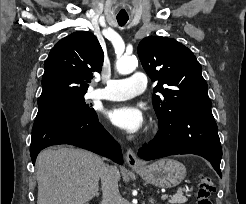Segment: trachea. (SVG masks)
<instances>
[{
	"instance_id": "1",
	"label": "trachea",
	"mask_w": 246,
	"mask_h": 204,
	"mask_svg": "<svg viewBox=\"0 0 246 204\" xmlns=\"http://www.w3.org/2000/svg\"><path fill=\"white\" fill-rule=\"evenodd\" d=\"M117 21H118V24L120 26H124L127 23L128 19H120V18H118Z\"/></svg>"
}]
</instances>
